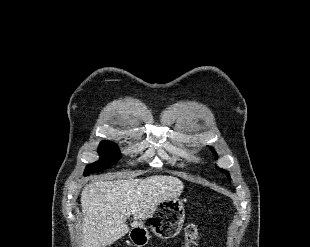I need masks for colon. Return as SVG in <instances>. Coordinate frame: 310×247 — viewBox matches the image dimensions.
Wrapping results in <instances>:
<instances>
[{
    "mask_svg": "<svg viewBox=\"0 0 310 247\" xmlns=\"http://www.w3.org/2000/svg\"><path fill=\"white\" fill-rule=\"evenodd\" d=\"M185 242L183 247H197L200 236L199 227L195 223L188 224L185 228Z\"/></svg>",
    "mask_w": 310,
    "mask_h": 247,
    "instance_id": "colon-1",
    "label": "colon"
}]
</instances>
